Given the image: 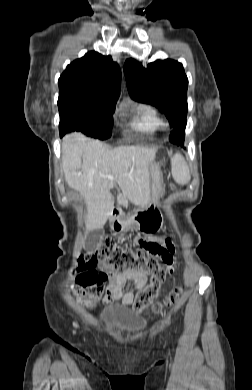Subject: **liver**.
<instances>
[{"instance_id":"1","label":"liver","mask_w":252,"mask_h":390,"mask_svg":"<svg viewBox=\"0 0 252 390\" xmlns=\"http://www.w3.org/2000/svg\"><path fill=\"white\" fill-rule=\"evenodd\" d=\"M62 154L65 181L87 205V229L103 228L112 216L114 198L110 190L117 184L136 204L149 200L153 149L123 146L111 150L99 140L71 133L63 138Z\"/></svg>"}]
</instances>
